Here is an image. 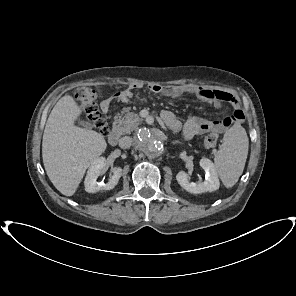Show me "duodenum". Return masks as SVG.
<instances>
[{
    "instance_id": "410a0bca",
    "label": "duodenum",
    "mask_w": 296,
    "mask_h": 296,
    "mask_svg": "<svg viewBox=\"0 0 296 296\" xmlns=\"http://www.w3.org/2000/svg\"><path fill=\"white\" fill-rule=\"evenodd\" d=\"M120 131L116 126H113L108 135V140L111 145H116L120 139Z\"/></svg>"
}]
</instances>
